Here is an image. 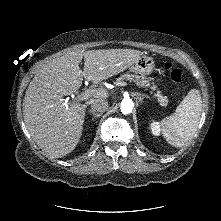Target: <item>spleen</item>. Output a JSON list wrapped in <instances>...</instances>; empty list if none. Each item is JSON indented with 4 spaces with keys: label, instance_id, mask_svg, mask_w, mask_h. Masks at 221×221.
I'll return each mask as SVG.
<instances>
[{
    "label": "spleen",
    "instance_id": "obj_1",
    "mask_svg": "<svg viewBox=\"0 0 221 221\" xmlns=\"http://www.w3.org/2000/svg\"><path fill=\"white\" fill-rule=\"evenodd\" d=\"M202 98L197 89H191L177 106L174 114L161 121L166 141L174 147H183L194 136L200 122Z\"/></svg>",
    "mask_w": 221,
    "mask_h": 221
}]
</instances>
